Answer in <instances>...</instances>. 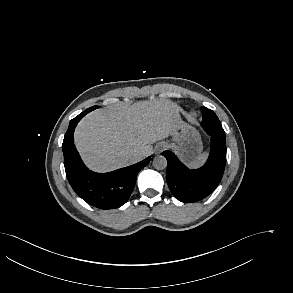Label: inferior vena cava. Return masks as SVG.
Wrapping results in <instances>:
<instances>
[{
	"label": "inferior vena cava",
	"instance_id": "inferior-vena-cava-1",
	"mask_svg": "<svg viewBox=\"0 0 293 293\" xmlns=\"http://www.w3.org/2000/svg\"><path fill=\"white\" fill-rule=\"evenodd\" d=\"M141 160V154H135L134 155V161L137 162V161H140Z\"/></svg>",
	"mask_w": 293,
	"mask_h": 293
}]
</instances>
